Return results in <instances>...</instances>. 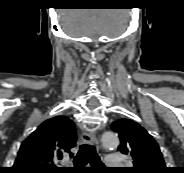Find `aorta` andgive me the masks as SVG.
Masks as SVG:
<instances>
[{"mask_svg": "<svg viewBox=\"0 0 184 173\" xmlns=\"http://www.w3.org/2000/svg\"><path fill=\"white\" fill-rule=\"evenodd\" d=\"M101 143L105 149H115L119 145V138L113 132H105L102 135Z\"/></svg>", "mask_w": 184, "mask_h": 173, "instance_id": "obj_1", "label": "aorta"}]
</instances>
